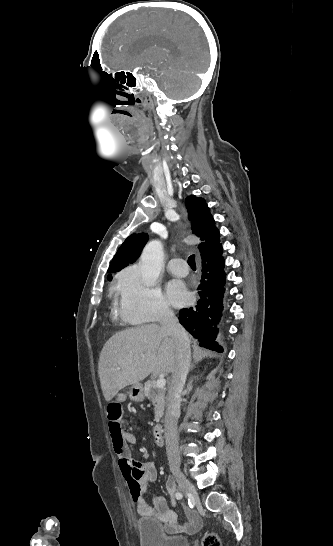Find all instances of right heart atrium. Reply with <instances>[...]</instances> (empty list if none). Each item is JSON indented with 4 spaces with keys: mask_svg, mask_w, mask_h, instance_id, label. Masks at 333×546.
I'll list each match as a JSON object with an SVG mask.
<instances>
[{
    "mask_svg": "<svg viewBox=\"0 0 333 546\" xmlns=\"http://www.w3.org/2000/svg\"><path fill=\"white\" fill-rule=\"evenodd\" d=\"M119 316L127 324L160 322L172 317V309L161 292L143 281L137 269H128L118 278Z\"/></svg>",
    "mask_w": 333,
    "mask_h": 546,
    "instance_id": "obj_1",
    "label": "right heart atrium"
}]
</instances>
